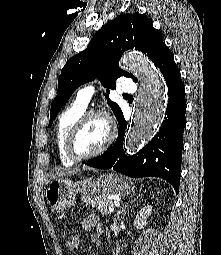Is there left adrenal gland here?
I'll return each mask as SVG.
<instances>
[{"mask_svg": "<svg viewBox=\"0 0 221 255\" xmlns=\"http://www.w3.org/2000/svg\"><path fill=\"white\" fill-rule=\"evenodd\" d=\"M142 196V194H139L138 196H136V198H134L133 200H131L129 203H126L124 206H122L115 214V218L114 221H117V219L119 218L121 213L125 212V209L129 207V204L135 202L137 200L138 197Z\"/></svg>", "mask_w": 221, "mask_h": 255, "instance_id": "a2214340", "label": "left adrenal gland"}]
</instances>
